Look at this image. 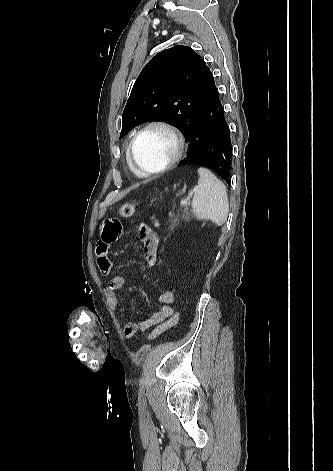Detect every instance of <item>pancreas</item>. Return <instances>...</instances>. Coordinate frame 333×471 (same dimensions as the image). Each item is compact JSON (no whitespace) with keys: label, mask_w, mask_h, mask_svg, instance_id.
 <instances>
[{"label":"pancreas","mask_w":333,"mask_h":471,"mask_svg":"<svg viewBox=\"0 0 333 471\" xmlns=\"http://www.w3.org/2000/svg\"><path fill=\"white\" fill-rule=\"evenodd\" d=\"M192 219L193 214L188 208L181 209L176 215L170 217V229H174L180 220L188 222Z\"/></svg>","instance_id":"1"}]
</instances>
